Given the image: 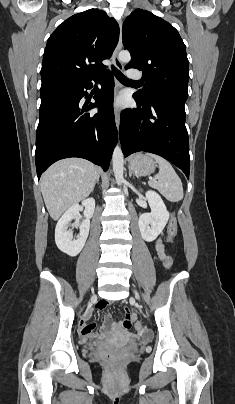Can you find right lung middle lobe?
I'll list each match as a JSON object with an SVG mask.
<instances>
[{
	"instance_id": "1",
	"label": "right lung middle lobe",
	"mask_w": 235,
	"mask_h": 404,
	"mask_svg": "<svg viewBox=\"0 0 235 404\" xmlns=\"http://www.w3.org/2000/svg\"><path fill=\"white\" fill-rule=\"evenodd\" d=\"M60 83H50L41 86V90H46L58 86Z\"/></svg>"
}]
</instances>
